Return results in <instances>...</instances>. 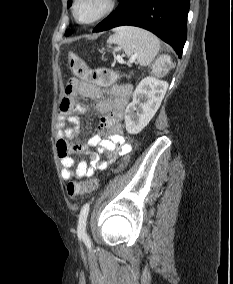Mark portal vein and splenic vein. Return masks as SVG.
I'll return each instance as SVG.
<instances>
[{
	"label": "portal vein and splenic vein",
	"mask_w": 233,
	"mask_h": 284,
	"mask_svg": "<svg viewBox=\"0 0 233 284\" xmlns=\"http://www.w3.org/2000/svg\"><path fill=\"white\" fill-rule=\"evenodd\" d=\"M118 60H119L121 63H123V62H124V61L122 60V58H119Z\"/></svg>",
	"instance_id": "1"
}]
</instances>
